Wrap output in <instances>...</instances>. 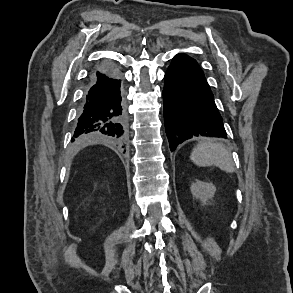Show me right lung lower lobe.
<instances>
[{"label":"right lung lower lobe","mask_w":293,"mask_h":293,"mask_svg":"<svg viewBox=\"0 0 293 293\" xmlns=\"http://www.w3.org/2000/svg\"><path fill=\"white\" fill-rule=\"evenodd\" d=\"M110 141L124 148L127 141V118L121 95V79L115 67L103 63L91 72L89 87L81 102L75 141Z\"/></svg>","instance_id":"1"}]
</instances>
